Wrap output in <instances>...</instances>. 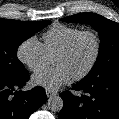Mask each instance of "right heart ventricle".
<instances>
[{
    "label": "right heart ventricle",
    "mask_w": 119,
    "mask_h": 119,
    "mask_svg": "<svg viewBox=\"0 0 119 119\" xmlns=\"http://www.w3.org/2000/svg\"><path fill=\"white\" fill-rule=\"evenodd\" d=\"M81 29L75 26L56 24L43 34V45L50 58L67 44Z\"/></svg>",
    "instance_id": "1"
}]
</instances>
